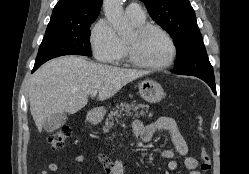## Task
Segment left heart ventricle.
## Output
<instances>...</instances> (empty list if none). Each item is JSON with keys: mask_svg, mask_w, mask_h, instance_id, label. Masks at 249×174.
Segmentation results:
<instances>
[{"mask_svg": "<svg viewBox=\"0 0 249 174\" xmlns=\"http://www.w3.org/2000/svg\"><path fill=\"white\" fill-rule=\"evenodd\" d=\"M131 36L132 33L127 38ZM137 54L145 62L161 64L171 57L172 47L164 35L151 31L140 41Z\"/></svg>", "mask_w": 249, "mask_h": 174, "instance_id": "obj_1", "label": "left heart ventricle"}]
</instances>
